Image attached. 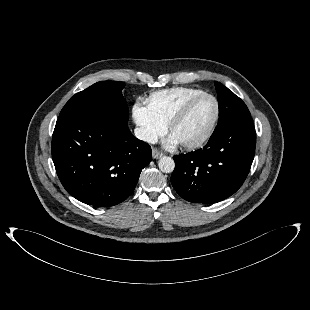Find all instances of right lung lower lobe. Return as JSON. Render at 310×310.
Wrapping results in <instances>:
<instances>
[{
  "instance_id": "right-lung-lower-lobe-1",
  "label": "right lung lower lobe",
  "mask_w": 310,
  "mask_h": 310,
  "mask_svg": "<svg viewBox=\"0 0 310 310\" xmlns=\"http://www.w3.org/2000/svg\"><path fill=\"white\" fill-rule=\"evenodd\" d=\"M152 158L127 121L84 111L60 116L52 137V159L69 194L94 206H114L134 191Z\"/></svg>"
}]
</instances>
